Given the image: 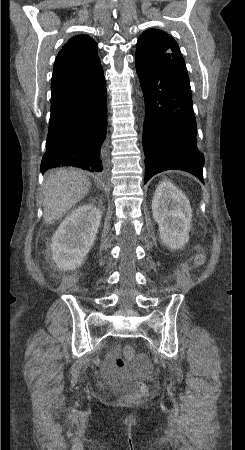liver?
Returning a JSON list of instances; mask_svg holds the SVG:
<instances>
[{
  "label": "liver",
  "instance_id": "1",
  "mask_svg": "<svg viewBox=\"0 0 245 450\" xmlns=\"http://www.w3.org/2000/svg\"><path fill=\"white\" fill-rule=\"evenodd\" d=\"M90 181L73 169L49 172L43 184L44 221L47 225L61 219L88 193Z\"/></svg>",
  "mask_w": 245,
  "mask_h": 450
}]
</instances>
